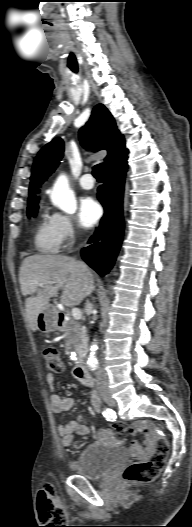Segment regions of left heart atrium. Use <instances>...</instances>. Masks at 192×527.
<instances>
[{"instance_id": "1", "label": "left heart atrium", "mask_w": 192, "mask_h": 527, "mask_svg": "<svg viewBox=\"0 0 192 527\" xmlns=\"http://www.w3.org/2000/svg\"><path fill=\"white\" fill-rule=\"evenodd\" d=\"M102 209L92 197H85L79 206V220L85 227H92L101 217Z\"/></svg>"}]
</instances>
